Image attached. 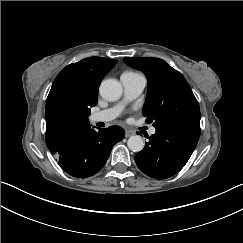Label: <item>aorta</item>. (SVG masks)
I'll use <instances>...</instances> for the list:
<instances>
[{"label":"aorta","mask_w":243,"mask_h":243,"mask_svg":"<svg viewBox=\"0 0 243 243\" xmlns=\"http://www.w3.org/2000/svg\"><path fill=\"white\" fill-rule=\"evenodd\" d=\"M100 95L107 101L118 100L123 92V88L120 82L115 79H106L102 81L99 88ZM128 148L134 152L143 150L145 142L139 135L130 136L127 141Z\"/></svg>","instance_id":"aorta-1"}]
</instances>
